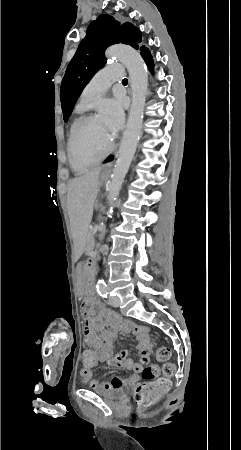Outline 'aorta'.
<instances>
[{
    "label": "aorta",
    "mask_w": 241,
    "mask_h": 450,
    "mask_svg": "<svg viewBox=\"0 0 241 450\" xmlns=\"http://www.w3.org/2000/svg\"><path fill=\"white\" fill-rule=\"evenodd\" d=\"M105 54L107 57L117 58L126 66L132 89V102L126 129L123 133L117 160L108 186V202L112 206L117 199L124 178L129 170L141 135L148 90V75L141 55L130 46L122 44L114 45ZM102 282V280L98 281L99 284H102Z\"/></svg>",
    "instance_id": "1"
}]
</instances>
